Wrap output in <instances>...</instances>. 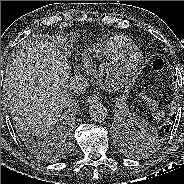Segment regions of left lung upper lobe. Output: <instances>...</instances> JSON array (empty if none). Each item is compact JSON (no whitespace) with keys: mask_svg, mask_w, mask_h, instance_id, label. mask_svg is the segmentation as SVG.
Segmentation results:
<instances>
[{"mask_svg":"<svg viewBox=\"0 0 184 184\" xmlns=\"http://www.w3.org/2000/svg\"><path fill=\"white\" fill-rule=\"evenodd\" d=\"M144 131V130H143ZM152 132L148 133L146 132H141L140 128L135 131V139L139 143L138 146L139 148L142 149H147L150 148L151 146H155L156 144H160L165 138H161L160 136L156 134H151Z\"/></svg>","mask_w":184,"mask_h":184,"instance_id":"5c2ea615","label":"left lung upper lobe"}]
</instances>
